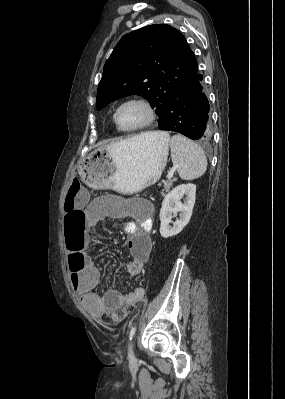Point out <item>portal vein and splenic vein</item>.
<instances>
[{"label": "portal vein and splenic vein", "instance_id": "portal-vein-and-splenic-vein-1", "mask_svg": "<svg viewBox=\"0 0 285 399\" xmlns=\"http://www.w3.org/2000/svg\"><path fill=\"white\" fill-rule=\"evenodd\" d=\"M174 172H175V170H174V169L170 170V171H169V173L167 174V178H168V179L172 178V177H173V174H174Z\"/></svg>", "mask_w": 285, "mask_h": 399}]
</instances>
